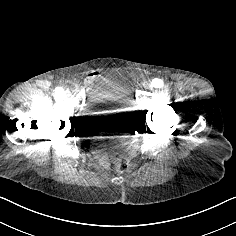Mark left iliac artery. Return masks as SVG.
I'll return each mask as SVG.
<instances>
[{"label":"left iliac artery","mask_w":236,"mask_h":236,"mask_svg":"<svg viewBox=\"0 0 236 236\" xmlns=\"http://www.w3.org/2000/svg\"><path fill=\"white\" fill-rule=\"evenodd\" d=\"M164 83L161 79L155 78L151 82V86L155 88H161L163 87Z\"/></svg>","instance_id":"44dca946"}]
</instances>
